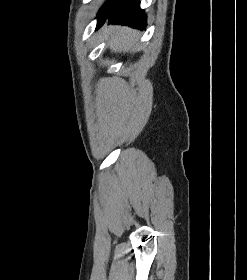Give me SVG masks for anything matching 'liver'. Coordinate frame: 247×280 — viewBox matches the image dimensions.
Segmentation results:
<instances>
[{
    "mask_svg": "<svg viewBox=\"0 0 247 280\" xmlns=\"http://www.w3.org/2000/svg\"><path fill=\"white\" fill-rule=\"evenodd\" d=\"M108 46L113 52L129 50L136 43L138 32L125 26H106L103 29Z\"/></svg>",
    "mask_w": 247,
    "mask_h": 280,
    "instance_id": "1",
    "label": "liver"
}]
</instances>
